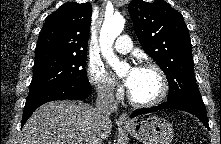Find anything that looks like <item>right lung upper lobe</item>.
<instances>
[{"instance_id": "1", "label": "right lung upper lobe", "mask_w": 221, "mask_h": 144, "mask_svg": "<svg viewBox=\"0 0 221 144\" xmlns=\"http://www.w3.org/2000/svg\"><path fill=\"white\" fill-rule=\"evenodd\" d=\"M92 6L68 2L48 15L41 29L35 54H86Z\"/></svg>"}]
</instances>
